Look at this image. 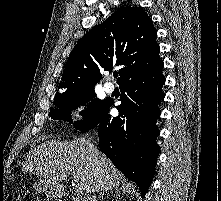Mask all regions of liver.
<instances>
[{"label": "liver", "mask_w": 221, "mask_h": 201, "mask_svg": "<svg viewBox=\"0 0 221 201\" xmlns=\"http://www.w3.org/2000/svg\"><path fill=\"white\" fill-rule=\"evenodd\" d=\"M23 167L55 188L71 174L87 194L118 189L123 181L112 162L85 138L43 142L27 155Z\"/></svg>", "instance_id": "1"}]
</instances>
